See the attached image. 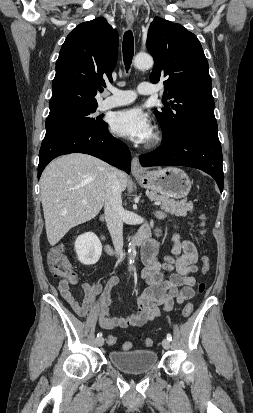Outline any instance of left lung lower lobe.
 I'll return each mask as SVG.
<instances>
[{
	"label": "left lung lower lobe",
	"mask_w": 253,
	"mask_h": 413,
	"mask_svg": "<svg viewBox=\"0 0 253 413\" xmlns=\"http://www.w3.org/2000/svg\"><path fill=\"white\" fill-rule=\"evenodd\" d=\"M140 163L148 166H187L211 175L223 191L222 150L218 134L190 131L151 153L140 155Z\"/></svg>",
	"instance_id": "obj_1"
}]
</instances>
